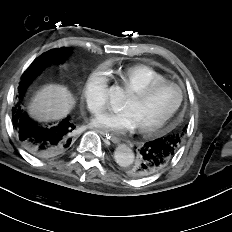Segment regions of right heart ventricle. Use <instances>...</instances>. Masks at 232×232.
Here are the masks:
<instances>
[{"instance_id": "obj_1", "label": "right heart ventricle", "mask_w": 232, "mask_h": 232, "mask_svg": "<svg viewBox=\"0 0 232 232\" xmlns=\"http://www.w3.org/2000/svg\"><path fill=\"white\" fill-rule=\"evenodd\" d=\"M112 75H115L121 85L130 92L148 84L166 80L161 73L143 64L120 68L113 72Z\"/></svg>"}]
</instances>
